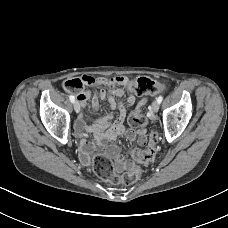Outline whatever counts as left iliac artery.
Instances as JSON below:
<instances>
[{
    "label": "left iliac artery",
    "mask_w": 228,
    "mask_h": 228,
    "mask_svg": "<svg viewBox=\"0 0 228 228\" xmlns=\"http://www.w3.org/2000/svg\"><path fill=\"white\" fill-rule=\"evenodd\" d=\"M162 100H163V96H159V97L157 98V102H158L159 104L162 102Z\"/></svg>",
    "instance_id": "44dca946"
}]
</instances>
